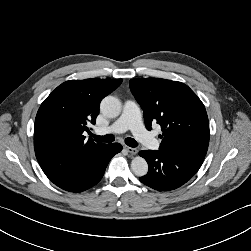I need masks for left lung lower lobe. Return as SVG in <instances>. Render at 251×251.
<instances>
[{
    "mask_svg": "<svg viewBox=\"0 0 251 251\" xmlns=\"http://www.w3.org/2000/svg\"><path fill=\"white\" fill-rule=\"evenodd\" d=\"M139 154L149 166L148 173L140 181L158 191L174 190L185 184L204 160L191 154L165 150H143Z\"/></svg>",
    "mask_w": 251,
    "mask_h": 251,
    "instance_id": "obj_1",
    "label": "left lung lower lobe"
}]
</instances>
